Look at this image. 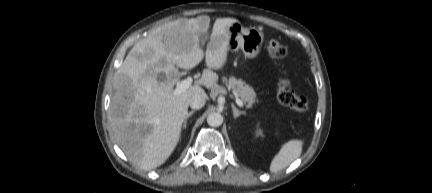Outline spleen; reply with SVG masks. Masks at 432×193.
<instances>
[{"mask_svg":"<svg viewBox=\"0 0 432 193\" xmlns=\"http://www.w3.org/2000/svg\"><path fill=\"white\" fill-rule=\"evenodd\" d=\"M302 146L303 141L297 139L285 143L273 158L270 164V172L276 173L299 158L302 153Z\"/></svg>","mask_w":432,"mask_h":193,"instance_id":"obj_1","label":"spleen"}]
</instances>
